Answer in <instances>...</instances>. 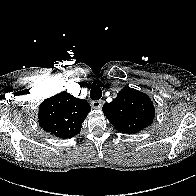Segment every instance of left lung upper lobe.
I'll list each match as a JSON object with an SVG mask.
<instances>
[{
    "label": "left lung upper lobe",
    "mask_w": 196,
    "mask_h": 196,
    "mask_svg": "<svg viewBox=\"0 0 196 196\" xmlns=\"http://www.w3.org/2000/svg\"><path fill=\"white\" fill-rule=\"evenodd\" d=\"M103 113L116 130L135 134L151 125L155 110L148 95L124 87L111 103L103 105Z\"/></svg>",
    "instance_id": "1"
}]
</instances>
